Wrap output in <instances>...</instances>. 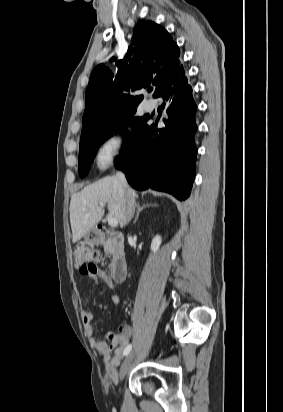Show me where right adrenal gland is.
Masks as SVG:
<instances>
[{"mask_svg": "<svg viewBox=\"0 0 283 412\" xmlns=\"http://www.w3.org/2000/svg\"><path fill=\"white\" fill-rule=\"evenodd\" d=\"M150 206H156V204H144L142 206H140L139 203L136 204L137 211H136V217H135V220H134V224L138 220V217H139V214L141 213V211H143V209H145L147 207H150Z\"/></svg>", "mask_w": 283, "mask_h": 412, "instance_id": "2a0ac1e0", "label": "right adrenal gland"}]
</instances>
